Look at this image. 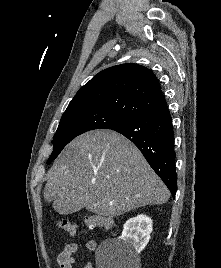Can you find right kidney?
<instances>
[{
	"label": "right kidney",
	"instance_id": "1",
	"mask_svg": "<svg viewBox=\"0 0 221 268\" xmlns=\"http://www.w3.org/2000/svg\"><path fill=\"white\" fill-rule=\"evenodd\" d=\"M152 232V220L140 214L126 221L119 239L134 254H139L147 245Z\"/></svg>",
	"mask_w": 221,
	"mask_h": 268
}]
</instances>
